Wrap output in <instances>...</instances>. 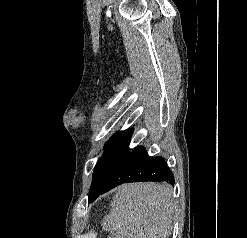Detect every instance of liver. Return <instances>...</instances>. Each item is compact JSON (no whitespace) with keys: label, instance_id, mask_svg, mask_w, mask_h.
Returning <instances> with one entry per match:
<instances>
[{"label":"liver","instance_id":"1","mask_svg":"<svg viewBox=\"0 0 247 238\" xmlns=\"http://www.w3.org/2000/svg\"><path fill=\"white\" fill-rule=\"evenodd\" d=\"M174 209L169 185L124 184L117 188L102 228L112 238H168Z\"/></svg>","mask_w":247,"mask_h":238}]
</instances>
